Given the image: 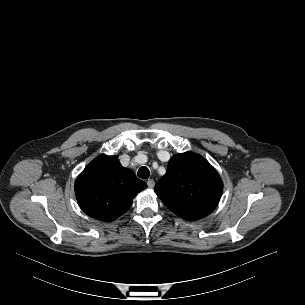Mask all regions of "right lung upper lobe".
I'll return each instance as SVG.
<instances>
[{"label": "right lung upper lobe", "instance_id": "1", "mask_svg": "<svg viewBox=\"0 0 305 305\" xmlns=\"http://www.w3.org/2000/svg\"><path fill=\"white\" fill-rule=\"evenodd\" d=\"M146 187L133 171L120 164L117 156L102 154L78 176L75 194L87 215L110 222L125 213L135 196Z\"/></svg>", "mask_w": 305, "mask_h": 305}]
</instances>
